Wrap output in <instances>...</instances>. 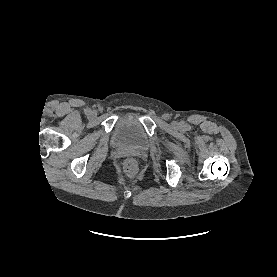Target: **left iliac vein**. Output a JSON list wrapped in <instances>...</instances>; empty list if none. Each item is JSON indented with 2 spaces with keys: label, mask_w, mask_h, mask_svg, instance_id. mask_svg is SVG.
Returning <instances> with one entry per match:
<instances>
[{
  "label": "left iliac vein",
  "mask_w": 277,
  "mask_h": 277,
  "mask_svg": "<svg viewBox=\"0 0 277 277\" xmlns=\"http://www.w3.org/2000/svg\"><path fill=\"white\" fill-rule=\"evenodd\" d=\"M173 126H174V127H178V126H179V123H178V122H174V123H173Z\"/></svg>",
  "instance_id": "left-iliac-vein-1"
}]
</instances>
